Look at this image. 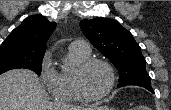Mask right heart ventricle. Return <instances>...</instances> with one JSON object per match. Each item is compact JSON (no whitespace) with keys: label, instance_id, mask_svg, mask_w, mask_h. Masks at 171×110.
<instances>
[{"label":"right heart ventricle","instance_id":"1","mask_svg":"<svg viewBox=\"0 0 171 110\" xmlns=\"http://www.w3.org/2000/svg\"><path fill=\"white\" fill-rule=\"evenodd\" d=\"M89 56L90 52H84L73 46L69 47L66 61L71 69L58 72L54 81L49 85V90L55 100L66 103L81 101L74 91L72 78L75 69L89 59Z\"/></svg>","mask_w":171,"mask_h":110}]
</instances>
